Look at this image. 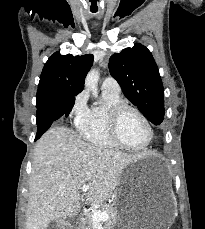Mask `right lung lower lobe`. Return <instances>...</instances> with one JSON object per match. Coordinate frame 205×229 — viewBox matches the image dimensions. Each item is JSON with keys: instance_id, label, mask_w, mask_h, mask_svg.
<instances>
[{"instance_id": "obj_1", "label": "right lung lower lobe", "mask_w": 205, "mask_h": 229, "mask_svg": "<svg viewBox=\"0 0 205 229\" xmlns=\"http://www.w3.org/2000/svg\"><path fill=\"white\" fill-rule=\"evenodd\" d=\"M68 98L69 97L58 99L37 110L36 117L38 129L35 141L50 128L53 121L59 119L62 115H65L66 117L69 115L75 101L71 102Z\"/></svg>"}]
</instances>
